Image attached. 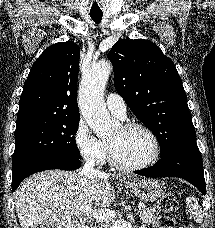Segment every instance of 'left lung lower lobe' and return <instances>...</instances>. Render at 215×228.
<instances>
[{"mask_svg":"<svg viewBox=\"0 0 215 228\" xmlns=\"http://www.w3.org/2000/svg\"><path fill=\"white\" fill-rule=\"evenodd\" d=\"M146 177H179L206 193L202 157L196 140L185 142L173 148L153 166L135 171Z\"/></svg>","mask_w":215,"mask_h":228,"instance_id":"0a47b994","label":"left lung lower lobe"}]
</instances>
